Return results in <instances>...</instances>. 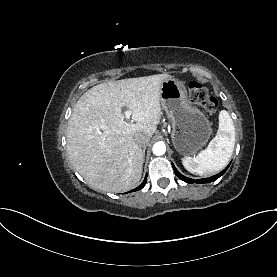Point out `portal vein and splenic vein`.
Instances as JSON below:
<instances>
[{"label": "portal vein and splenic vein", "mask_w": 277, "mask_h": 277, "mask_svg": "<svg viewBox=\"0 0 277 277\" xmlns=\"http://www.w3.org/2000/svg\"><path fill=\"white\" fill-rule=\"evenodd\" d=\"M131 114H132L131 111L126 110L125 111V117H126V119H130Z\"/></svg>", "instance_id": "18ae733b"}]
</instances>
